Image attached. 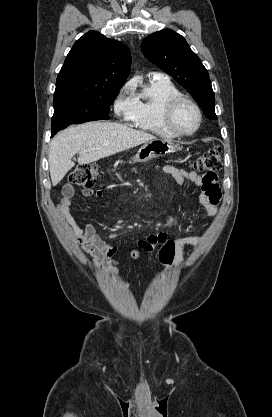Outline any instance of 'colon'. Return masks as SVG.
Instances as JSON below:
<instances>
[{
    "label": "colon",
    "mask_w": 272,
    "mask_h": 417,
    "mask_svg": "<svg viewBox=\"0 0 272 417\" xmlns=\"http://www.w3.org/2000/svg\"><path fill=\"white\" fill-rule=\"evenodd\" d=\"M222 165L221 149L214 147L199 156L193 163L192 168L198 172L214 174ZM98 167L95 164H80L74 168L69 176V181L83 188L92 187L98 179ZM157 253L160 263L167 272L174 265L176 255V243L172 239L156 244L143 243L138 244V249L132 252V257L138 259L142 256H149Z\"/></svg>",
    "instance_id": "colon-1"
}]
</instances>
